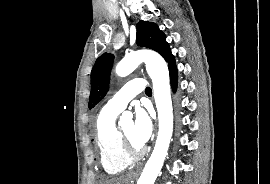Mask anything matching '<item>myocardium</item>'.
Masks as SVG:
<instances>
[{"label":"myocardium","instance_id":"1","mask_svg":"<svg viewBox=\"0 0 270 184\" xmlns=\"http://www.w3.org/2000/svg\"><path fill=\"white\" fill-rule=\"evenodd\" d=\"M118 133L120 137L121 147L124 155L134 161L141 158L145 152L146 148L144 146H135L128 136L124 133L121 127L118 128Z\"/></svg>","mask_w":270,"mask_h":184}]
</instances>
